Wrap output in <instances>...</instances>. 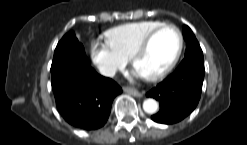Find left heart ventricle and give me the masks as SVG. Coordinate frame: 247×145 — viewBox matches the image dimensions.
Masks as SVG:
<instances>
[{"mask_svg": "<svg viewBox=\"0 0 247 145\" xmlns=\"http://www.w3.org/2000/svg\"><path fill=\"white\" fill-rule=\"evenodd\" d=\"M178 47V36L171 28L160 31L148 49L137 59L135 69L149 76L164 68L173 58Z\"/></svg>", "mask_w": 247, "mask_h": 145, "instance_id": "left-heart-ventricle-1", "label": "left heart ventricle"}]
</instances>
